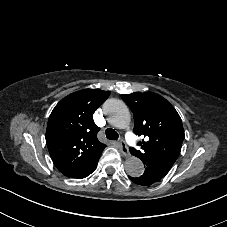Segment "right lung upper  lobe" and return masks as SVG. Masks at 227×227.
Listing matches in <instances>:
<instances>
[{
  "mask_svg": "<svg viewBox=\"0 0 227 227\" xmlns=\"http://www.w3.org/2000/svg\"><path fill=\"white\" fill-rule=\"evenodd\" d=\"M109 91L84 89L63 98L50 114L46 144L54 165L64 171L79 157L86 169L98 160L106 147L97 139L99 127L93 113L109 97Z\"/></svg>",
  "mask_w": 227,
  "mask_h": 227,
  "instance_id": "1",
  "label": "right lung upper lobe"
}]
</instances>
